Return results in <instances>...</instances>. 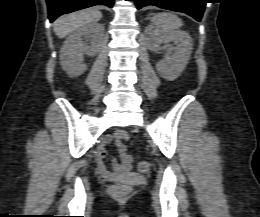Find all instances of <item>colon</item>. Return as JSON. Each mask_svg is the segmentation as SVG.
<instances>
[{"label": "colon", "mask_w": 260, "mask_h": 217, "mask_svg": "<svg viewBox=\"0 0 260 217\" xmlns=\"http://www.w3.org/2000/svg\"><path fill=\"white\" fill-rule=\"evenodd\" d=\"M137 169L141 172L148 170V164L146 162H139ZM110 192L114 195L124 196L127 193V187L124 184H116L110 188Z\"/></svg>", "instance_id": "1"}]
</instances>
